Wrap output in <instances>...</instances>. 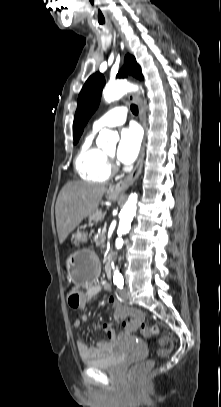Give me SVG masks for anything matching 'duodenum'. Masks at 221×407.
Segmentation results:
<instances>
[{"label": "duodenum", "instance_id": "410a0bca", "mask_svg": "<svg viewBox=\"0 0 221 407\" xmlns=\"http://www.w3.org/2000/svg\"><path fill=\"white\" fill-rule=\"evenodd\" d=\"M105 272L107 276H111L112 274V259L109 258L105 264Z\"/></svg>", "mask_w": 221, "mask_h": 407}]
</instances>
